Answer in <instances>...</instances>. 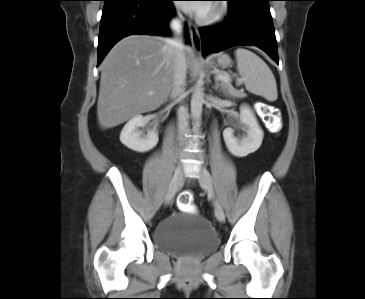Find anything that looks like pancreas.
<instances>
[{"label":"pancreas","mask_w":365,"mask_h":299,"mask_svg":"<svg viewBox=\"0 0 365 299\" xmlns=\"http://www.w3.org/2000/svg\"><path fill=\"white\" fill-rule=\"evenodd\" d=\"M219 74H226V73H219ZM221 87L223 88V90L227 91L230 95L234 97L242 98L246 96L245 93L233 89L232 85L229 82L222 81Z\"/></svg>","instance_id":"obj_1"}]
</instances>
